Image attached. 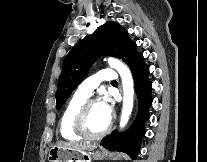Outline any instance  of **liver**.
I'll list each match as a JSON object with an SVG mask.
<instances>
[{
    "label": "liver",
    "instance_id": "liver-1",
    "mask_svg": "<svg viewBox=\"0 0 207 162\" xmlns=\"http://www.w3.org/2000/svg\"><path fill=\"white\" fill-rule=\"evenodd\" d=\"M58 147L70 149L73 151H92L97 148V144H90V143H61Z\"/></svg>",
    "mask_w": 207,
    "mask_h": 162
}]
</instances>
